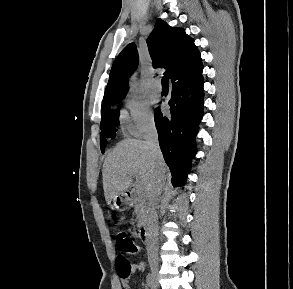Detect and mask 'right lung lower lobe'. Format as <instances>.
Returning <instances> with one entry per match:
<instances>
[{"label": "right lung lower lobe", "mask_w": 293, "mask_h": 289, "mask_svg": "<svg viewBox=\"0 0 293 289\" xmlns=\"http://www.w3.org/2000/svg\"><path fill=\"white\" fill-rule=\"evenodd\" d=\"M203 76L172 85L171 117L155 110L159 145L172 173V182L183 185L196 154L195 137L203 116Z\"/></svg>", "instance_id": "1"}]
</instances>
